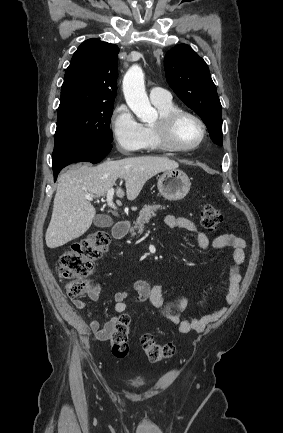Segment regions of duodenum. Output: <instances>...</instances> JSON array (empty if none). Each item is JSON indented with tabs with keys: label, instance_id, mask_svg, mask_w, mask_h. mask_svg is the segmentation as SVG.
Wrapping results in <instances>:
<instances>
[{
	"label": "duodenum",
	"instance_id": "duodenum-1",
	"mask_svg": "<svg viewBox=\"0 0 283 433\" xmlns=\"http://www.w3.org/2000/svg\"><path fill=\"white\" fill-rule=\"evenodd\" d=\"M127 231H128L127 223L124 221H118L114 224L112 228V235L115 239H120L123 236H125Z\"/></svg>",
	"mask_w": 283,
	"mask_h": 433
}]
</instances>
